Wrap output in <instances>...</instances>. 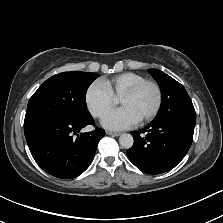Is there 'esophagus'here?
Wrapping results in <instances>:
<instances>
[{"instance_id":"esophagus-1","label":"esophagus","mask_w":223,"mask_h":223,"mask_svg":"<svg viewBox=\"0 0 223 223\" xmlns=\"http://www.w3.org/2000/svg\"><path fill=\"white\" fill-rule=\"evenodd\" d=\"M106 134L111 135V136H120L121 135V133L113 132V131H106Z\"/></svg>"}]
</instances>
